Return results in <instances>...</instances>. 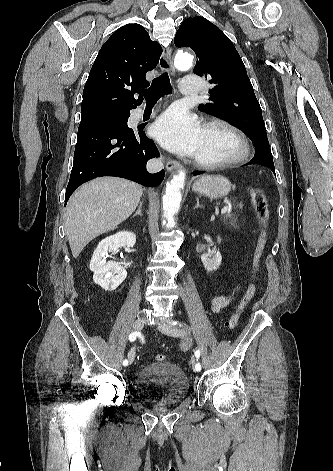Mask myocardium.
<instances>
[{
    "instance_id": "myocardium-1",
    "label": "myocardium",
    "mask_w": 333,
    "mask_h": 471,
    "mask_svg": "<svg viewBox=\"0 0 333 471\" xmlns=\"http://www.w3.org/2000/svg\"><path fill=\"white\" fill-rule=\"evenodd\" d=\"M219 128L227 132L234 140L236 149L235 152L224 159L220 160H204L199 157H195V164L204 169H217L229 167L232 165L243 162L249 155L250 146L245 134L230 122L215 118L205 122L203 129Z\"/></svg>"
}]
</instances>
